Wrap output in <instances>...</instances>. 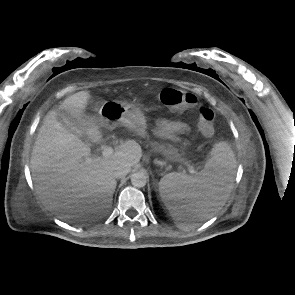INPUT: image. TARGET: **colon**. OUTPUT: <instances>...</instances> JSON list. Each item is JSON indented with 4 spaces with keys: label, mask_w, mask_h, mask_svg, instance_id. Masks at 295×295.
I'll list each match as a JSON object with an SVG mask.
<instances>
[{
    "label": "colon",
    "mask_w": 295,
    "mask_h": 295,
    "mask_svg": "<svg viewBox=\"0 0 295 295\" xmlns=\"http://www.w3.org/2000/svg\"><path fill=\"white\" fill-rule=\"evenodd\" d=\"M158 98L162 104L176 113H182L188 109H192L197 103V99L193 94L174 88H165L161 90L158 94ZM197 127L205 136L213 134L214 113L211 109L207 107L199 108Z\"/></svg>",
    "instance_id": "obj_1"
}]
</instances>
